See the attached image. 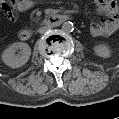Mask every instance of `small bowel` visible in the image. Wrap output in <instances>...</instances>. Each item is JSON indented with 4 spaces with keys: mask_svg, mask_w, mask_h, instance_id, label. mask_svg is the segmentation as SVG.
Returning <instances> with one entry per match:
<instances>
[{
    "mask_svg": "<svg viewBox=\"0 0 119 119\" xmlns=\"http://www.w3.org/2000/svg\"><path fill=\"white\" fill-rule=\"evenodd\" d=\"M97 10L104 14V18L94 21L90 25V32L96 37H108L119 26L118 4L113 0H96ZM34 3L30 0H8L3 3V10L11 22L17 20L20 13L30 10Z\"/></svg>",
    "mask_w": 119,
    "mask_h": 119,
    "instance_id": "small-bowel-1",
    "label": "small bowel"
}]
</instances>
